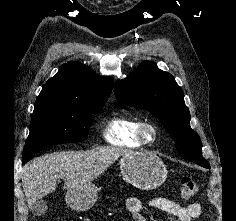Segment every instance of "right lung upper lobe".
<instances>
[{"label": "right lung upper lobe", "mask_w": 236, "mask_h": 221, "mask_svg": "<svg viewBox=\"0 0 236 221\" xmlns=\"http://www.w3.org/2000/svg\"><path fill=\"white\" fill-rule=\"evenodd\" d=\"M113 87V78L96 75L78 62L63 64L42 88L36 103H104Z\"/></svg>", "instance_id": "obj_1"}]
</instances>
